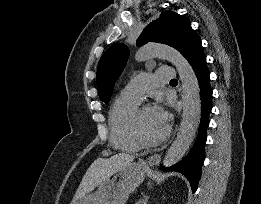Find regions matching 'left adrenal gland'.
<instances>
[{
  "instance_id": "a2214340",
  "label": "left adrenal gland",
  "mask_w": 261,
  "mask_h": 204,
  "mask_svg": "<svg viewBox=\"0 0 261 204\" xmlns=\"http://www.w3.org/2000/svg\"><path fill=\"white\" fill-rule=\"evenodd\" d=\"M148 196H145L144 199L141 201V204H147Z\"/></svg>"
}]
</instances>
